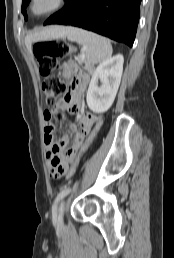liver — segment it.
<instances>
[{
  "label": "liver",
  "instance_id": "6515ba94",
  "mask_svg": "<svg viewBox=\"0 0 174 258\" xmlns=\"http://www.w3.org/2000/svg\"><path fill=\"white\" fill-rule=\"evenodd\" d=\"M65 34H66V28L65 27L53 26V27H49L47 29H44L41 32L27 35V37L25 39V42H26L27 47L30 49L31 48V43L33 41L64 37Z\"/></svg>",
  "mask_w": 174,
  "mask_h": 258
}]
</instances>
